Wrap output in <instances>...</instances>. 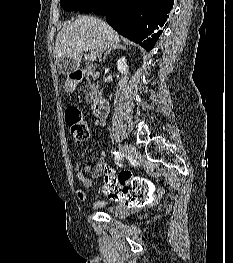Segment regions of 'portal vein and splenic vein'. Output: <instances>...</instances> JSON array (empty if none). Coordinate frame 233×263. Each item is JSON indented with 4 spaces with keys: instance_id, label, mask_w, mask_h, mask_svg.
Segmentation results:
<instances>
[{
    "instance_id": "obj_1",
    "label": "portal vein and splenic vein",
    "mask_w": 233,
    "mask_h": 263,
    "mask_svg": "<svg viewBox=\"0 0 233 263\" xmlns=\"http://www.w3.org/2000/svg\"><path fill=\"white\" fill-rule=\"evenodd\" d=\"M76 46H80V47L83 48L84 51H88V47H87V45H86L85 42H78V43L76 44ZM87 59H88L89 61H95V60H96V56L93 55V54H90V55H87Z\"/></svg>"
}]
</instances>
